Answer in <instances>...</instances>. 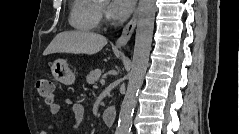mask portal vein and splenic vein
<instances>
[{
  "label": "portal vein and splenic vein",
  "mask_w": 239,
  "mask_h": 134,
  "mask_svg": "<svg viewBox=\"0 0 239 134\" xmlns=\"http://www.w3.org/2000/svg\"><path fill=\"white\" fill-rule=\"evenodd\" d=\"M100 82H101V83H105V80L102 79Z\"/></svg>",
  "instance_id": "portal-vein-and-splenic-vein-1"
}]
</instances>
